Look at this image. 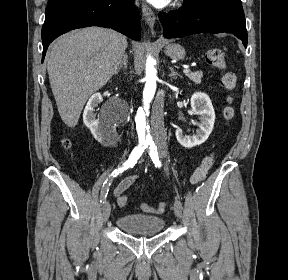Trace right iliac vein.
<instances>
[{"mask_svg": "<svg viewBox=\"0 0 288 280\" xmlns=\"http://www.w3.org/2000/svg\"><path fill=\"white\" fill-rule=\"evenodd\" d=\"M111 213V204L109 201H105L103 203V212H102V219L103 222H107Z\"/></svg>", "mask_w": 288, "mask_h": 280, "instance_id": "obj_1", "label": "right iliac vein"}]
</instances>
